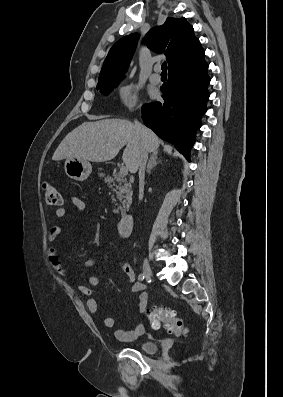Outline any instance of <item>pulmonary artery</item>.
<instances>
[{
    "label": "pulmonary artery",
    "mask_w": 283,
    "mask_h": 397,
    "mask_svg": "<svg viewBox=\"0 0 283 397\" xmlns=\"http://www.w3.org/2000/svg\"><path fill=\"white\" fill-rule=\"evenodd\" d=\"M159 71H160V66L156 65L154 67V72L151 74L150 76V81L153 84H159L161 82V77L159 75Z\"/></svg>",
    "instance_id": "1"
}]
</instances>
